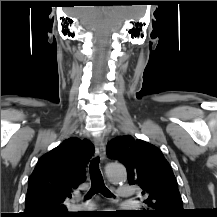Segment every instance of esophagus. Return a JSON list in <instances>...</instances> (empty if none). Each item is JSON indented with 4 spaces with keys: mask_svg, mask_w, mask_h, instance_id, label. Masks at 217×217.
Listing matches in <instances>:
<instances>
[{
    "mask_svg": "<svg viewBox=\"0 0 217 217\" xmlns=\"http://www.w3.org/2000/svg\"><path fill=\"white\" fill-rule=\"evenodd\" d=\"M96 154L100 157L101 160L105 159V143L102 136H97L94 140Z\"/></svg>",
    "mask_w": 217,
    "mask_h": 217,
    "instance_id": "34e87169",
    "label": "esophagus"
}]
</instances>
